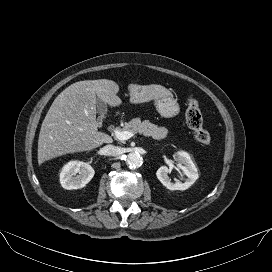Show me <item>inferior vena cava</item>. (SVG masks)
Returning <instances> with one entry per match:
<instances>
[{"label": "inferior vena cava", "mask_w": 272, "mask_h": 272, "mask_svg": "<svg viewBox=\"0 0 272 272\" xmlns=\"http://www.w3.org/2000/svg\"><path fill=\"white\" fill-rule=\"evenodd\" d=\"M104 149L108 156H118L122 153L121 148L114 145H106Z\"/></svg>", "instance_id": "1"}]
</instances>
